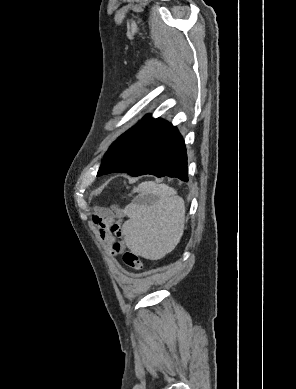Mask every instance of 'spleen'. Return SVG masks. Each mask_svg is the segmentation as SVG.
Masks as SVG:
<instances>
[{
    "label": "spleen",
    "instance_id": "3e777b00",
    "mask_svg": "<svg viewBox=\"0 0 296 389\" xmlns=\"http://www.w3.org/2000/svg\"><path fill=\"white\" fill-rule=\"evenodd\" d=\"M138 197L126 207L123 230L127 247L149 260H158L179 243L185 222V203L172 187L152 181L133 190Z\"/></svg>",
    "mask_w": 296,
    "mask_h": 389
}]
</instances>
